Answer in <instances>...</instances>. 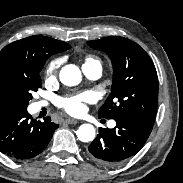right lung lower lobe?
<instances>
[{
    "label": "right lung lower lobe",
    "mask_w": 183,
    "mask_h": 183,
    "mask_svg": "<svg viewBox=\"0 0 183 183\" xmlns=\"http://www.w3.org/2000/svg\"><path fill=\"white\" fill-rule=\"evenodd\" d=\"M59 126L49 117L33 119L24 110L11 111L0 119V151L13 159H30L40 154Z\"/></svg>",
    "instance_id": "1"
}]
</instances>
